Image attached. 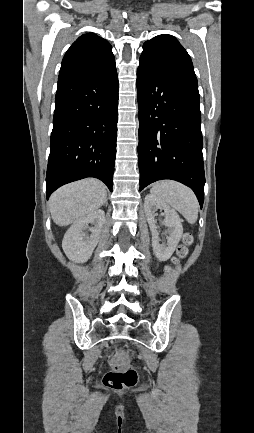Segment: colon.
<instances>
[{
  "label": "colon",
  "mask_w": 254,
  "mask_h": 433,
  "mask_svg": "<svg viewBox=\"0 0 254 433\" xmlns=\"http://www.w3.org/2000/svg\"><path fill=\"white\" fill-rule=\"evenodd\" d=\"M194 238L190 233L183 236L182 243L177 248V256L174 262L185 259L188 254ZM171 268L167 267L166 271L170 272ZM138 374L134 367L130 366L124 353L119 354L112 361V369L107 372L103 378L104 384L115 390L129 389L136 385Z\"/></svg>",
  "instance_id": "1"
}]
</instances>
